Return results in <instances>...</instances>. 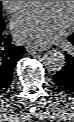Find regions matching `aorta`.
Listing matches in <instances>:
<instances>
[{"label": "aorta", "mask_w": 74, "mask_h": 122, "mask_svg": "<svg viewBox=\"0 0 74 122\" xmlns=\"http://www.w3.org/2000/svg\"><path fill=\"white\" fill-rule=\"evenodd\" d=\"M44 1H34L33 5L40 7ZM65 55L58 50H49L43 56V65L49 71H60L65 66Z\"/></svg>", "instance_id": "aorta-1"}]
</instances>
